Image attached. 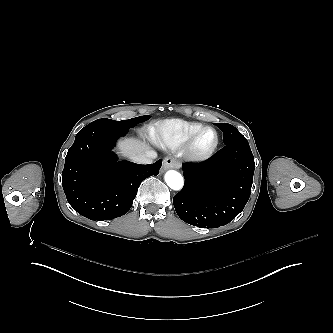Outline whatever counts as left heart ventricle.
<instances>
[{
	"label": "left heart ventricle",
	"instance_id": "b2bd125f",
	"mask_svg": "<svg viewBox=\"0 0 333 333\" xmlns=\"http://www.w3.org/2000/svg\"><path fill=\"white\" fill-rule=\"evenodd\" d=\"M215 142V134L212 130L206 129L202 131L197 137L194 149L197 152H204L212 147Z\"/></svg>",
	"mask_w": 333,
	"mask_h": 333
}]
</instances>
